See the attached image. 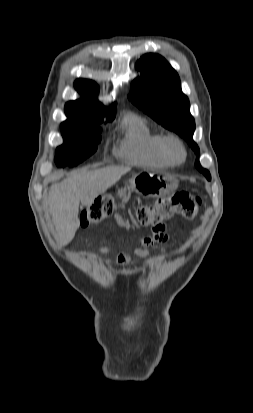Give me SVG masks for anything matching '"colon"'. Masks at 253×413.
Segmentation results:
<instances>
[{"label": "colon", "mask_w": 253, "mask_h": 413, "mask_svg": "<svg viewBox=\"0 0 253 413\" xmlns=\"http://www.w3.org/2000/svg\"><path fill=\"white\" fill-rule=\"evenodd\" d=\"M201 203V196L179 191L170 196L161 197L153 204L137 205L134 213L141 226H151L157 229L175 215H181L187 219L194 218ZM117 207V203L111 195L102 196L82 212L81 225L83 227L96 225L112 216Z\"/></svg>", "instance_id": "1"}]
</instances>
